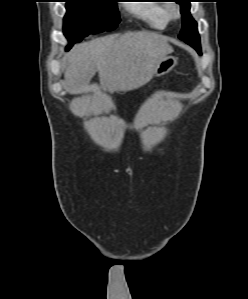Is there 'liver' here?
Here are the masks:
<instances>
[{
  "label": "liver",
  "instance_id": "liver-1",
  "mask_svg": "<svg viewBox=\"0 0 248 299\" xmlns=\"http://www.w3.org/2000/svg\"><path fill=\"white\" fill-rule=\"evenodd\" d=\"M173 48L161 34L129 31L79 45L69 57L64 72L67 89L78 93L98 71L104 91L127 92L147 84L164 57Z\"/></svg>",
  "mask_w": 248,
  "mask_h": 299
}]
</instances>
